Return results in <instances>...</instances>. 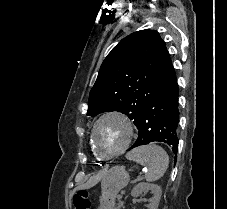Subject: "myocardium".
<instances>
[{
	"label": "myocardium",
	"mask_w": 227,
	"mask_h": 209,
	"mask_svg": "<svg viewBox=\"0 0 227 209\" xmlns=\"http://www.w3.org/2000/svg\"><path fill=\"white\" fill-rule=\"evenodd\" d=\"M110 116L117 117L120 120H122L127 125V127H128L129 135H128V138H127L125 144L120 149H118V150H116L114 152L107 153V154H102L99 151L98 146L96 144L95 130H96V127H97L98 123L101 120H103L106 117H110ZM134 133L135 132H134L133 124H132L130 118L124 112L119 111V110H108V111L104 112L103 114H101L95 120V122L93 123L92 128H91V133H90V142H91L92 148H93L96 156L99 159L108 160V159H112V158H115V157L119 156L128 147V145L132 141V138L134 136Z\"/></svg>",
	"instance_id": "1"
}]
</instances>
